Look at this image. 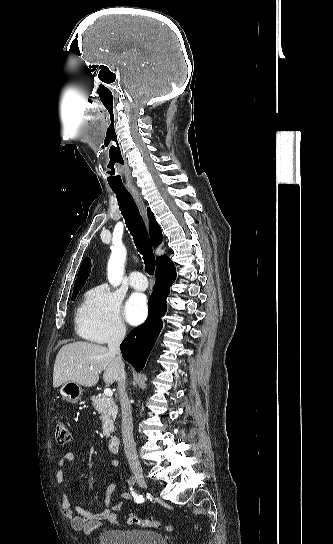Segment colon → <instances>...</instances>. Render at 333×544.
I'll use <instances>...</instances> for the list:
<instances>
[{
    "label": "colon",
    "instance_id": "colon-1",
    "mask_svg": "<svg viewBox=\"0 0 333 544\" xmlns=\"http://www.w3.org/2000/svg\"><path fill=\"white\" fill-rule=\"evenodd\" d=\"M55 440L59 445H66L71 441V432L67 425L61 420L55 422ZM127 521L142 527L163 529L166 532H171L173 530L171 525H164L151 518H139L134 515H129Z\"/></svg>",
    "mask_w": 333,
    "mask_h": 544
}]
</instances>
